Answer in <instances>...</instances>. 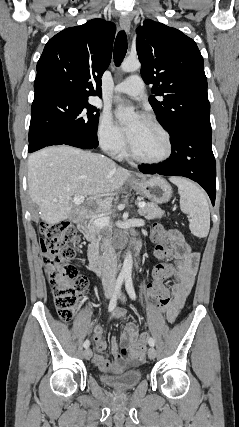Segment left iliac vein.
<instances>
[{
  "mask_svg": "<svg viewBox=\"0 0 239 427\" xmlns=\"http://www.w3.org/2000/svg\"><path fill=\"white\" fill-rule=\"evenodd\" d=\"M120 298H121V294H120ZM124 299H125V297L122 296V300H124ZM148 357L150 359H154L156 357V350L153 347L149 348V350H148Z\"/></svg>",
  "mask_w": 239,
  "mask_h": 427,
  "instance_id": "1",
  "label": "left iliac vein"
}]
</instances>
